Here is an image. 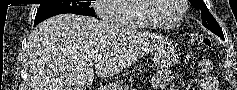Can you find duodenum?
I'll list each match as a JSON object with an SVG mask.
<instances>
[{
	"label": "duodenum",
	"mask_w": 237,
	"mask_h": 90,
	"mask_svg": "<svg viewBox=\"0 0 237 90\" xmlns=\"http://www.w3.org/2000/svg\"><path fill=\"white\" fill-rule=\"evenodd\" d=\"M100 90H111L110 87H101Z\"/></svg>",
	"instance_id": "obj_1"
}]
</instances>
